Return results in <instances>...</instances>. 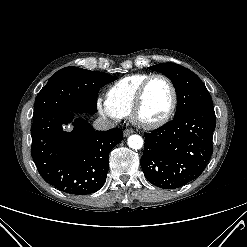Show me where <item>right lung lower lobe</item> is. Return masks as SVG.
<instances>
[{
	"label": "right lung lower lobe",
	"mask_w": 247,
	"mask_h": 247,
	"mask_svg": "<svg viewBox=\"0 0 247 247\" xmlns=\"http://www.w3.org/2000/svg\"><path fill=\"white\" fill-rule=\"evenodd\" d=\"M76 112L54 109L33 117L31 154L43 179L74 195L98 191L105 183L109 153L122 141L119 128L96 131L84 120H76L72 132L63 125Z\"/></svg>",
	"instance_id": "right-lung-lower-lobe-1"
}]
</instances>
